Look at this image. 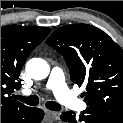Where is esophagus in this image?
<instances>
[{
	"label": "esophagus",
	"mask_w": 123,
	"mask_h": 123,
	"mask_svg": "<svg viewBox=\"0 0 123 123\" xmlns=\"http://www.w3.org/2000/svg\"><path fill=\"white\" fill-rule=\"evenodd\" d=\"M46 115L52 117L54 120H60V113L46 110Z\"/></svg>",
	"instance_id": "obj_1"
}]
</instances>
